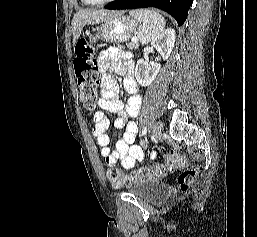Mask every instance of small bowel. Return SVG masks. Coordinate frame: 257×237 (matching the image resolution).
<instances>
[{"mask_svg":"<svg viewBox=\"0 0 257 237\" xmlns=\"http://www.w3.org/2000/svg\"><path fill=\"white\" fill-rule=\"evenodd\" d=\"M98 64L104 73L103 89L98 99V106L116 115L113 126L115 129L122 130V134L115 147L112 148L110 136L107 133L109 121L102 111H96L90 115L93 120L92 133L100 147V154L107 164H120L125 169H132L136 162L144 157L143 149L134 143L138 126L133 118L139 112L142 98L137 93L138 85L134 78L133 63L126 53L118 48L110 47L100 53ZM113 71H117L123 77L124 88L130 94L126 105L118 98L119 86L113 78Z\"/></svg>","mask_w":257,"mask_h":237,"instance_id":"obj_1","label":"small bowel"}]
</instances>
